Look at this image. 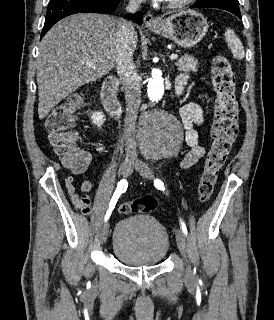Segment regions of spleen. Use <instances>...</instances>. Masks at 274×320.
Returning a JSON list of instances; mask_svg holds the SVG:
<instances>
[{"label": "spleen", "instance_id": "spleen-1", "mask_svg": "<svg viewBox=\"0 0 274 320\" xmlns=\"http://www.w3.org/2000/svg\"><path fill=\"white\" fill-rule=\"evenodd\" d=\"M224 36L228 42V48H230L234 58H237V60H243L245 56L244 48L236 34H234L230 28H227Z\"/></svg>", "mask_w": 274, "mask_h": 320}]
</instances>
